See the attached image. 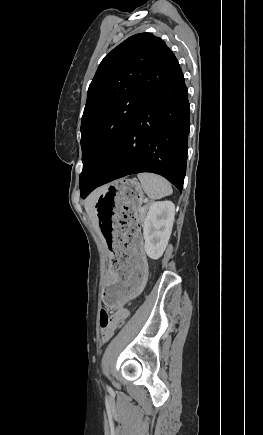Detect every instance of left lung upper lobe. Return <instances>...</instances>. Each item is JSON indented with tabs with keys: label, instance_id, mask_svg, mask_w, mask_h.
<instances>
[{
	"label": "left lung upper lobe",
	"instance_id": "1",
	"mask_svg": "<svg viewBox=\"0 0 263 435\" xmlns=\"http://www.w3.org/2000/svg\"><path fill=\"white\" fill-rule=\"evenodd\" d=\"M178 68L173 52L151 33L129 37L102 60L81 119L82 197L109 165L133 120Z\"/></svg>",
	"mask_w": 263,
	"mask_h": 435
}]
</instances>
